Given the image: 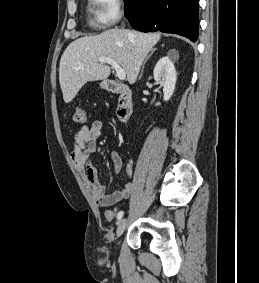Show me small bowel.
<instances>
[{"instance_id":"c3829d8e","label":"small bowel","mask_w":259,"mask_h":283,"mask_svg":"<svg viewBox=\"0 0 259 283\" xmlns=\"http://www.w3.org/2000/svg\"><path fill=\"white\" fill-rule=\"evenodd\" d=\"M102 135V122L93 121L89 126L80 128L74 136L73 148L70 151V158L74 163L78 172L86 179L91 194L101 207L111 206L130 196L134 189L132 182L126 183L122 189L112 193H106V185L99 182L97 173L91 165V157L97 151V140ZM110 159L113 169L119 173L123 168L122 153L112 151ZM126 177L130 180L134 178V168L132 164H128L125 170ZM109 218V217H108ZM110 219V218H109Z\"/></svg>"}]
</instances>
